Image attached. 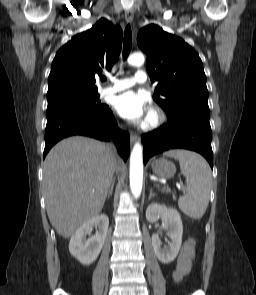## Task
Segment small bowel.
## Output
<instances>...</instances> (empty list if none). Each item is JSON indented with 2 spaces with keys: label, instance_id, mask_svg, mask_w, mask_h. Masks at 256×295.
<instances>
[{
  "label": "small bowel",
  "instance_id": "small-bowel-1",
  "mask_svg": "<svg viewBox=\"0 0 256 295\" xmlns=\"http://www.w3.org/2000/svg\"><path fill=\"white\" fill-rule=\"evenodd\" d=\"M195 253V245L192 239H188L183 245L180 254L177 258V266L173 272V278L175 280L181 279L186 275L190 269L193 257Z\"/></svg>",
  "mask_w": 256,
  "mask_h": 295
}]
</instances>
